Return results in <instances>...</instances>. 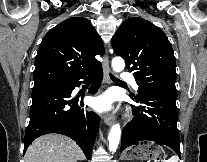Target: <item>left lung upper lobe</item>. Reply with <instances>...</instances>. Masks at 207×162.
<instances>
[{
  "label": "left lung upper lobe",
  "mask_w": 207,
  "mask_h": 162,
  "mask_svg": "<svg viewBox=\"0 0 207 162\" xmlns=\"http://www.w3.org/2000/svg\"><path fill=\"white\" fill-rule=\"evenodd\" d=\"M116 55L134 72L138 95L148 89L176 92L175 57L165 33L143 18L125 20L112 38Z\"/></svg>",
  "instance_id": "obj_1"
}]
</instances>
